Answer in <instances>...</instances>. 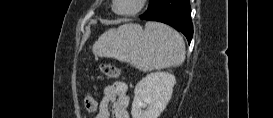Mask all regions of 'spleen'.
I'll return each instance as SVG.
<instances>
[{"mask_svg": "<svg viewBox=\"0 0 273 118\" xmlns=\"http://www.w3.org/2000/svg\"><path fill=\"white\" fill-rule=\"evenodd\" d=\"M100 57L127 62L141 71L176 67L185 59L182 37L172 28L157 22L124 24L103 33L93 45Z\"/></svg>", "mask_w": 273, "mask_h": 118, "instance_id": "spleen-1", "label": "spleen"}]
</instances>
